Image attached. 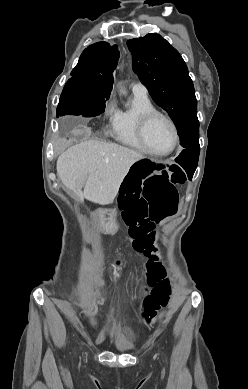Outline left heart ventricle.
<instances>
[{"label":"left heart ventricle","instance_id":"obj_1","mask_svg":"<svg viewBox=\"0 0 248 389\" xmlns=\"http://www.w3.org/2000/svg\"><path fill=\"white\" fill-rule=\"evenodd\" d=\"M146 140L153 151H168L173 144V135L169 124L160 117L154 118L147 127Z\"/></svg>","mask_w":248,"mask_h":389}]
</instances>
